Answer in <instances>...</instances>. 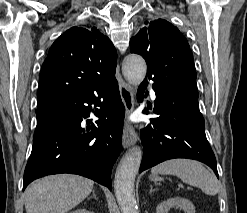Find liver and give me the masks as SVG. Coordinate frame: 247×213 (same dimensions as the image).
I'll return each instance as SVG.
<instances>
[{
  "instance_id": "obj_1",
  "label": "liver",
  "mask_w": 247,
  "mask_h": 213,
  "mask_svg": "<svg viewBox=\"0 0 247 213\" xmlns=\"http://www.w3.org/2000/svg\"><path fill=\"white\" fill-rule=\"evenodd\" d=\"M93 185L92 180L72 174L44 177L26 188V213H66L91 193Z\"/></svg>"
}]
</instances>
